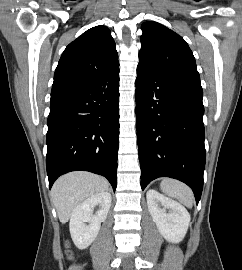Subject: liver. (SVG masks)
Segmentation results:
<instances>
[{
    "label": "liver",
    "mask_w": 242,
    "mask_h": 270,
    "mask_svg": "<svg viewBox=\"0 0 242 270\" xmlns=\"http://www.w3.org/2000/svg\"><path fill=\"white\" fill-rule=\"evenodd\" d=\"M108 185L105 178L88 172L78 171L61 176L51 191L60 222H68L78 205L95 194L105 192Z\"/></svg>",
    "instance_id": "obj_1"
}]
</instances>
